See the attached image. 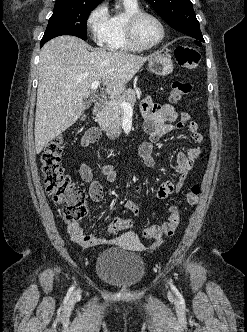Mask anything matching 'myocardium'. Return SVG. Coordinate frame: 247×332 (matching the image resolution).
<instances>
[{"mask_svg":"<svg viewBox=\"0 0 247 332\" xmlns=\"http://www.w3.org/2000/svg\"><path fill=\"white\" fill-rule=\"evenodd\" d=\"M145 16H149L152 17L154 20H156V22L159 24L160 28H161V37L160 39L150 45H143L141 44L136 36V27L138 22L140 21L141 18L145 17ZM126 35H127V39L128 41L131 43V45H133L136 49L138 50H149L152 48H155L157 46H159L165 39L166 36V28L165 25L163 23V21L161 20V18L156 15L153 12L150 11H145V10H139L133 14H131L126 22Z\"/></svg>","mask_w":247,"mask_h":332,"instance_id":"obj_1","label":"myocardium"}]
</instances>
